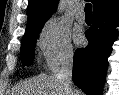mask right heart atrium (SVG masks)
<instances>
[{"label":"right heart atrium","mask_w":119,"mask_h":95,"mask_svg":"<svg viewBox=\"0 0 119 95\" xmlns=\"http://www.w3.org/2000/svg\"><path fill=\"white\" fill-rule=\"evenodd\" d=\"M37 45L50 70H57L73 58L69 28L58 19L48 20L37 38Z\"/></svg>","instance_id":"d8ad5b80"}]
</instances>
